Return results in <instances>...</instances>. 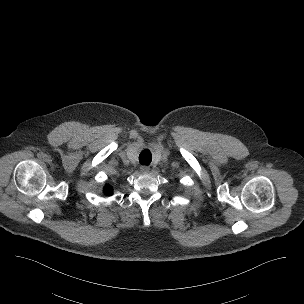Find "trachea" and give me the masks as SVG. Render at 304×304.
<instances>
[{
  "label": "trachea",
  "mask_w": 304,
  "mask_h": 304,
  "mask_svg": "<svg viewBox=\"0 0 304 304\" xmlns=\"http://www.w3.org/2000/svg\"><path fill=\"white\" fill-rule=\"evenodd\" d=\"M151 161H152V154L150 150L148 149L141 150L139 155V162L144 165H149Z\"/></svg>",
  "instance_id": "obj_1"
}]
</instances>
